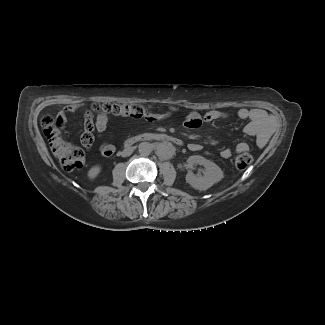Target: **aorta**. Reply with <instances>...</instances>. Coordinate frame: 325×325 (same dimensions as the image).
<instances>
[{
	"instance_id": "762f6f07",
	"label": "aorta",
	"mask_w": 325,
	"mask_h": 325,
	"mask_svg": "<svg viewBox=\"0 0 325 325\" xmlns=\"http://www.w3.org/2000/svg\"><path fill=\"white\" fill-rule=\"evenodd\" d=\"M152 149V144L148 142H142L138 146L139 153L144 156L149 155L152 152Z\"/></svg>"
}]
</instances>
